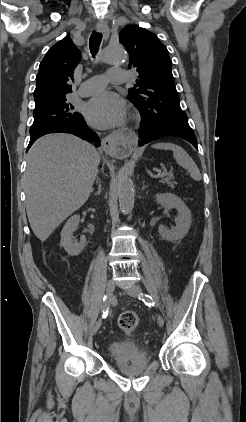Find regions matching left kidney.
<instances>
[{
  "label": "left kidney",
  "instance_id": "5707ae66",
  "mask_svg": "<svg viewBox=\"0 0 246 422\" xmlns=\"http://www.w3.org/2000/svg\"><path fill=\"white\" fill-rule=\"evenodd\" d=\"M156 202L167 208H175L178 211L176 218V227L167 229L160 225L158 232L160 236L168 241H177L183 239L188 233L191 225V212L185 203L172 193H158L155 196Z\"/></svg>",
  "mask_w": 246,
  "mask_h": 422
}]
</instances>
